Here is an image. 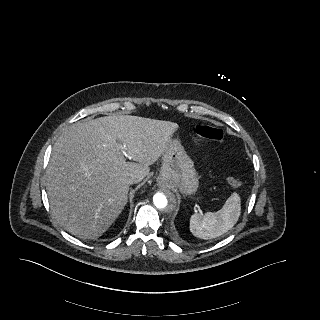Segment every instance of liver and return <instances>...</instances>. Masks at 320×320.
Instances as JSON below:
<instances>
[{"mask_svg":"<svg viewBox=\"0 0 320 320\" xmlns=\"http://www.w3.org/2000/svg\"><path fill=\"white\" fill-rule=\"evenodd\" d=\"M178 128L170 121L131 115L69 126L53 147L45 176L57 223L80 239L103 235L127 203V179L142 181Z\"/></svg>","mask_w":320,"mask_h":320,"instance_id":"1","label":"liver"}]
</instances>
